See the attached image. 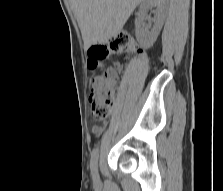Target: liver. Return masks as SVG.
Instances as JSON below:
<instances>
[{
  "label": "liver",
  "mask_w": 223,
  "mask_h": 191,
  "mask_svg": "<svg viewBox=\"0 0 223 191\" xmlns=\"http://www.w3.org/2000/svg\"><path fill=\"white\" fill-rule=\"evenodd\" d=\"M142 0H71L86 48L115 37Z\"/></svg>",
  "instance_id": "obj_1"
}]
</instances>
